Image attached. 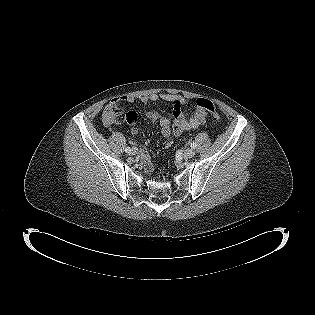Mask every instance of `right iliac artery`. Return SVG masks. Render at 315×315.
I'll list each match as a JSON object with an SVG mask.
<instances>
[{
	"instance_id": "1",
	"label": "right iliac artery",
	"mask_w": 315,
	"mask_h": 315,
	"mask_svg": "<svg viewBox=\"0 0 315 315\" xmlns=\"http://www.w3.org/2000/svg\"><path fill=\"white\" fill-rule=\"evenodd\" d=\"M130 151H131L130 147L125 148L126 153H130Z\"/></svg>"
}]
</instances>
